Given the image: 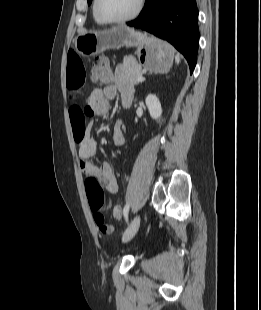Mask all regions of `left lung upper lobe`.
<instances>
[{
    "label": "left lung upper lobe",
    "mask_w": 261,
    "mask_h": 310,
    "mask_svg": "<svg viewBox=\"0 0 261 310\" xmlns=\"http://www.w3.org/2000/svg\"><path fill=\"white\" fill-rule=\"evenodd\" d=\"M92 0H88V4H91Z\"/></svg>",
    "instance_id": "left-lung-upper-lobe-1"
}]
</instances>
